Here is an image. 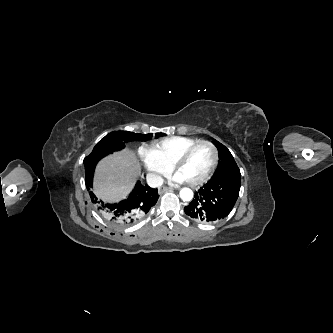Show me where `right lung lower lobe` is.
<instances>
[{"instance_id":"98d812e1","label":"right lung lower lobe","mask_w":333,"mask_h":333,"mask_svg":"<svg viewBox=\"0 0 333 333\" xmlns=\"http://www.w3.org/2000/svg\"><path fill=\"white\" fill-rule=\"evenodd\" d=\"M103 157L102 155L96 157L89 155L84 159L85 183L88 190L92 187L95 166ZM89 194L99 213L105 219L111 220L116 225L122 227L129 226L145 216L159 198L157 189L150 188L148 185H142L140 182H137L129 197L119 203L104 204L103 201L99 202L97 200L92 191Z\"/></svg>"}]
</instances>
